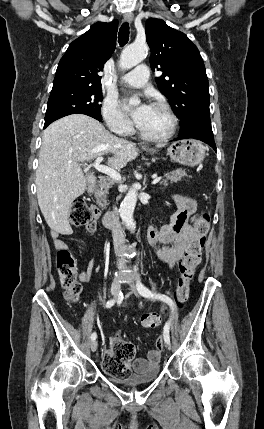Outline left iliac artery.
<instances>
[{
    "label": "left iliac artery",
    "mask_w": 264,
    "mask_h": 429,
    "mask_svg": "<svg viewBox=\"0 0 264 429\" xmlns=\"http://www.w3.org/2000/svg\"><path fill=\"white\" fill-rule=\"evenodd\" d=\"M137 290L139 293L146 297V298H152V299H159L161 301L166 302L168 305L174 309V303L173 301L166 295L163 294H157L149 290L146 286H144L140 280L137 281ZM171 319L165 324L164 330H163V336L166 343H170V335H169V329H170Z\"/></svg>",
    "instance_id": "obj_1"
}]
</instances>
